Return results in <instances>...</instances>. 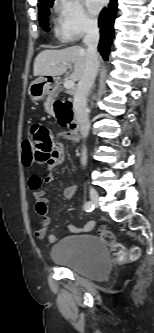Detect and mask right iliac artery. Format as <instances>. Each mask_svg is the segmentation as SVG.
<instances>
[{"instance_id":"right-iliac-artery-1","label":"right iliac artery","mask_w":154,"mask_h":333,"mask_svg":"<svg viewBox=\"0 0 154 333\" xmlns=\"http://www.w3.org/2000/svg\"><path fill=\"white\" fill-rule=\"evenodd\" d=\"M94 209V205L91 201H88L84 204V210L86 212H91Z\"/></svg>"}]
</instances>
